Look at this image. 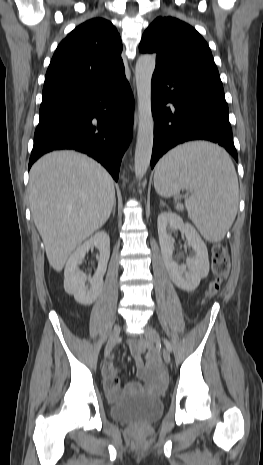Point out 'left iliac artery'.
<instances>
[{
  "label": "left iliac artery",
  "mask_w": 263,
  "mask_h": 465,
  "mask_svg": "<svg viewBox=\"0 0 263 465\" xmlns=\"http://www.w3.org/2000/svg\"><path fill=\"white\" fill-rule=\"evenodd\" d=\"M164 344L166 345V348L169 352L172 351V346H171V343L167 340V339H164Z\"/></svg>",
  "instance_id": "44dca946"
}]
</instances>
